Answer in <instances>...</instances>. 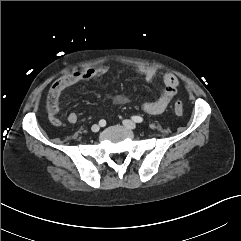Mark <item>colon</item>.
<instances>
[{"mask_svg": "<svg viewBox=\"0 0 241 241\" xmlns=\"http://www.w3.org/2000/svg\"><path fill=\"white\" fill-rule=\"evenodd\" d=\"M104 99H107V95H104ZM114 99H117V96H114ZM173 109L176 115H182L184 111L182 102H175Z\"/></svg>", "mask_w": 241, "mask_h": 241, "instance_id": "5ec220e1", "label": "colon"}]
</instances>
